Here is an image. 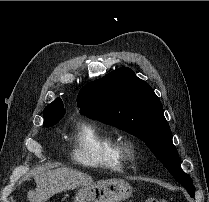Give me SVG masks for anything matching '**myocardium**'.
I'll list each match as a JSON object with an SVG mask.
<instances>
[{
  "mask_svg": "<svg viewBox=\"0 0 209 202\" xmlns=\"http://www.w3.org/2000/svg\"><path fill=\"white\" fill-rule=\"evenodd\" d=\"M117 150L120 154L132 158L136 151V143L131 138H124L119 142Z\"/></svg>",
  "mask_w": 209,
  "mask_h": 202,
  "instance_id": "f54148a6",
  "label": "myocardium"
}]
</instances>
